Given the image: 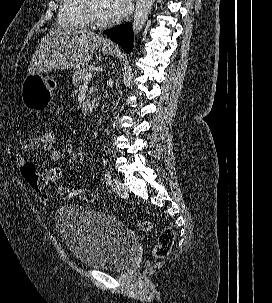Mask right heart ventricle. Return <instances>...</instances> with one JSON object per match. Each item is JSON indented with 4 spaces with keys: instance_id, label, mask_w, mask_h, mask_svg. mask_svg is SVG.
I'll use <instances>...</instances> for the list:
<instances>
[{
    "instance_id": "e07e8e85",
    "label": "right heart ventricle",
    "mask_w": 272,
    "mask_h": 303,
    "mask_svg": "<svg viewBox=\"0 0 272 303\" xmlns=\"http://www.w3.org/2000/svg\"><path fill=\"white\" fill-rule=\"evenodd\" d=\"M85 0H60L58 23L63 27L85 28L88 21L84 12Z\"/></svg>"
}]
</instances>
